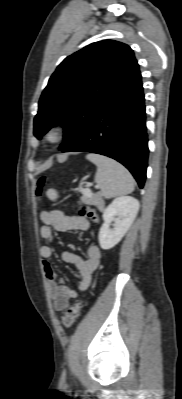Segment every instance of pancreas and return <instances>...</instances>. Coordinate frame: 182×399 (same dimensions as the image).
I'll use <instances>...</instances> for the list:
<instances>
[{"label":"pancreas","mask_w":182,"mask_h":399,"mask_svg":"<svg viewBox=\"0 0 182 399\" xmlns=\"http://www.w3.org/2000/svg\"><path fill=\"white\" fill-rule=\"evenodd\" d=\"M94 204L101 206L102 205V201L100 199V195L99 194H95L91 196Z\"/></svg>","instance_id":"pancreas-1"}]
</instances>
